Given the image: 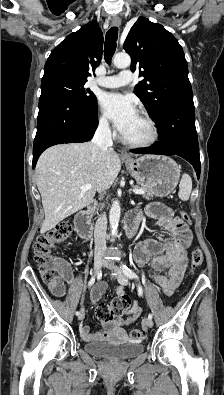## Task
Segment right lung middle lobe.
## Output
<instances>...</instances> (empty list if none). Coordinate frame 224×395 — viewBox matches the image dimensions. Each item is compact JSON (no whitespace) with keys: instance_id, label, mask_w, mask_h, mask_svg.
Wrapping results in <instances>:
<instances>
[{"instance_id":"obj_1","label":"right lung middle lobe","mask_w":224,"mask_h":395,"mask_svg":"<svg viewBox=\"0 0 224 395\" xmlns=\"http://www.w3.org/2000/svg\"><path fill=\"white\" fill-rule=\"evenodd\" d=\"M87 81L63 73L44 75L41 91H52L70 98L79 106L92 107L97 104L96 96L84 87Z\"/></svg>"}]
</instances>
